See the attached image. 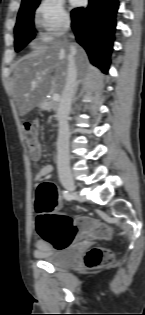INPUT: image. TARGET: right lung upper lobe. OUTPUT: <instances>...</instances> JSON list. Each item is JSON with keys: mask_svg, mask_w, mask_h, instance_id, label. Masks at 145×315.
Instances as JSON below:
<instances>
[{"mask_svg": "<svg viewBox=\"0 0 145 315\" xmlns=\"http://www.w3.org/2000/svg\"><path fill=\"white\" fill-rule=\"evenodd\" d=\"M31 1H34V0H22V4H21V5L26 4V3H29V2H31Z\"/></svg>", "mask_w": 145, "mask_h": 315, "instance_id": "1", "label": "right lung upper lobe"}]
</instances>
